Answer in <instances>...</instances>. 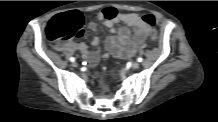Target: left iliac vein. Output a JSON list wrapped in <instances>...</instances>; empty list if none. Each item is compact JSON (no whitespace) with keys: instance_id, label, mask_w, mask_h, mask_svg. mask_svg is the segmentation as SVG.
<instances>
[{"instance_id":"obj_1","label":"left iliac vein","mask_w":218,"mask_h":122,"mask_svg":"<svg viewBox=\"0 0 218 122\" xmlns=\"http://www.w3.org/2000/svg\"><path fill=\"white\" fill-rule=\"evenodd\" d=\"M131 68H132V69H137V68H139V63H138V62L132 63Z\"/></svg>"}]
</instances>
